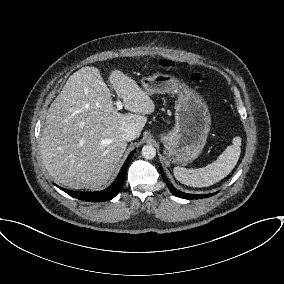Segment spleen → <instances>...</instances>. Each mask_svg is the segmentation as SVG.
<instances>
[{
  "mask_svg": "<svg viewBox=\"0 0 284 284\" xmlns=\"http://www.w3.org/2000/svg\"><path fill=\"white\" fill-rule=\"evenodd\" d=\"M232 145L228 146L218 159L205 167L198 169H186L175 167V178L187 186L207 187L226 177L235 167L241 153V138L234 137Z\"/></svg>",
  "mask_w": 284,
  "mask_h": 284,
  "instance_id": "spleen-1",
  "label": "spleen"
}]
</instances>
